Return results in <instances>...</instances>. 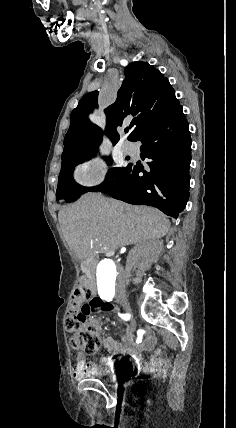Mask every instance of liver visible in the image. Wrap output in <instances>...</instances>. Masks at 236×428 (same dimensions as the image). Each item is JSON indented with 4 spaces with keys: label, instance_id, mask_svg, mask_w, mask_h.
<instances>
[{
    "label": "liver",
    "instance_id": "1",
    "mask_svg": "<svg viewBox=\"0 0 236 428\" xmlns=\"http://www.w3.org/2000/svg\"><path fill=\"white\" fill-rule=\"evenodd\" d=\"M62 234L78 260L166 236L170 222L156 208L129 206L102 194H84L58 214Z\"/></svg>",
    "mask_w": 236,
    "mask_h": 428
}]
</instances>
